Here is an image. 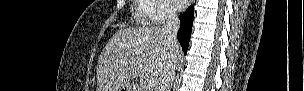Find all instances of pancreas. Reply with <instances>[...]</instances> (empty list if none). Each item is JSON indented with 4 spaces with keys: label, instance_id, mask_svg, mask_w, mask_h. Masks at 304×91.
<instances>
[{
    "label": "pancreas",
    "instance_id": "pancreas-1",
    "mask_svg": "<svg viewBox=\"0 0 304 91\" xmlns=\"http://www.w3.org/2000/svg\"><path fill=\"white\" fill-rule=\"evenodd\" d=\"M142 91H152V89L149 86H142Z\"/></svg>",
    "mask_w": 304,
    "mask_h": 91
}]
</instances>
